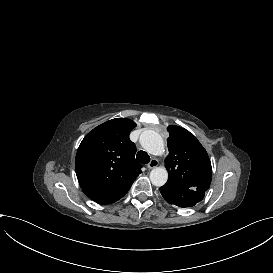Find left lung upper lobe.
I'll list each match as a JSON object with an SVG mask.
<instances>
[{"label":"left lung upper lobe","instance_id":"5c2ea615","mask_svg":"<svg viewBox=\"0 0 273 273\" xmlns=\"http://www.w3.org/2000/svg\"><path fill=\"white\" fill-rule=\"evenodd\" d=\"M166 168L168 181L164 186L205 192L211 183V162L197 138L186 129L170 125Z\"/></svg>","mask_w":273,"mask_h":273}]
</instances>
